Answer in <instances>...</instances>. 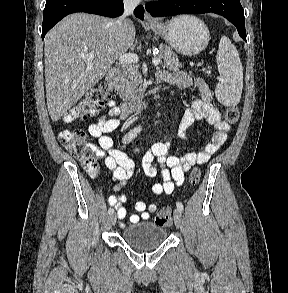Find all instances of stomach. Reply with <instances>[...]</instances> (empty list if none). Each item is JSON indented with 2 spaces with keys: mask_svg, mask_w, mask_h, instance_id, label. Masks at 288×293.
Masks as SVG:
<instances>
[{
  "mask_svg": "<svg viewBox=\"0 0 288 293\" xmlns=\"http://www.w3.org/2000/svg\"><path fill=\"white\" fill-rule=\"evenodd\" d=\"M150 28L173 49L185 56L202 52L210 41L205 23L192 15H181L166 22H155Z\"/></svg>",
  "mask_w": 288,
  "mask_h": 293,
  "instance_id": "0dacf381",
  "label": "stomach"
}]
</instances>
